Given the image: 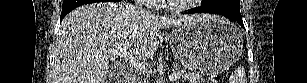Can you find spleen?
<instances>
[{
    "label": "spleen",
    "instance_id": "3e777b00",
    "mask_svg": "<svg viewBox=\"0 0 307 83\" xmlns=\"http://www.w3.org/2000/svg\"><path fill=\"white\" fill-rule=\"evenodd\" d=\"M230 83H247L245 69L242 66H238L231 74Z\"/></svg>",
    "mask_w": 307,
    "mask_h": 83
}]
</instances>
